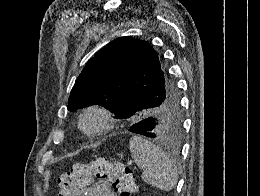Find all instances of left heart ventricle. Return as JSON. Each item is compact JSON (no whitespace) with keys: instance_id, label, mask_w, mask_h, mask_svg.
<instances>
[{"instance_id":"left-heart-ventricle-1","label":"left heart ventricle","mask_w":260,"mask_h":196,"mask_svg":"<svg viewBox=\"0 0 260 196\" xmlns=\"http://www.w3.org/2000/svg\"><path fill=\"white\" fill-rule=\"evenodd\" d=\"M100 124V116L96 113H91L83 120L84 128L88 130L96 129Z\"/></svg>"}]
</instances>
